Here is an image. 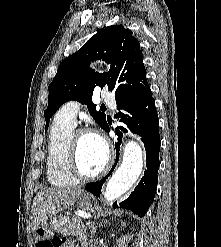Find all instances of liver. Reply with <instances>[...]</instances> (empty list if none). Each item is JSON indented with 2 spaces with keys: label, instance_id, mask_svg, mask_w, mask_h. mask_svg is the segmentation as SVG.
<instances>
[{
  "label": "liver",
  "instance_id": "liver-1",
  "mask_svg": "<svg viewBox=\"0 0 221 247\" xmlns=\"http://www.w3.org/2000/svg\"><path fill=\"white\" fill-rule=\"evenodd\" d=\"M81 193L82 190L79 188H42L37 193L32 205L33 230L48 217L73 205Z\"/></svg>",
  "mask_w": 221,
  "mask_h": 247
}]
</instances>
